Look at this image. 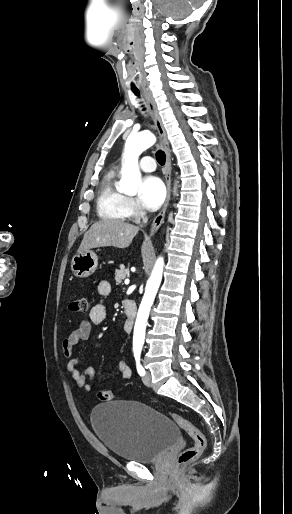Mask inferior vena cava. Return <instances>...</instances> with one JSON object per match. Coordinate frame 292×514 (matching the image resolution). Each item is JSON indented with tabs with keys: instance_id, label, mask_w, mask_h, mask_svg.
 <instances>
[{
	"instance_id": "1",
	"label": "inferior vena cava",
	"mask_w": 292,
	"mask_h": 514,
	"mask_svg": "<svg viewBox=\"0 0 292 514\" xmlns=\"http://www.w3.org/2000/svg\"><path fill=\"white\" fill-rule=\"evenodd\" d=\"M142 220H143V224H147V222H148L147 216H144V218H142Z\"/></svg>"
}]
</instances>
